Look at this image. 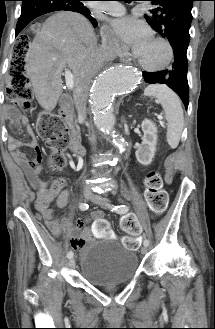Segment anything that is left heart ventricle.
Wrapping results in <instances>:
<instances>
[{
    "mask_svg": "<svg viewBox=\"0 0 215 329\" xmlns=\"http://www.w3.org/2000/svg\"><path fill=\"white\" fill-rule=\"evenodd\" d=\"M166 54L165 48L152 39L144 49L137 53V57L146 65L158 66L164 62Z\"/></svg>",
    "mask_w": 215,
    "mask_h": 329,
    "instance_id": "b2bd125f",
    "label": "left heart ventricle"
}]
</instances>
